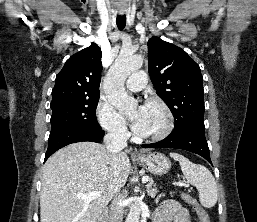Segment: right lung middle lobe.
I'll list each match as a JSON object with an SVG mask.
<instances>
[{
  "label": "right lung middle lobe",
  "instance_id": "obj_1",
  "mask_svg": "<svg viewBox=\"0 0 257 222\" xmlns=\"http://www.w3.org/2000/svg\"><path fill=\"white\" fill-rule=\"evenodd\" d=\"M99 95L80 98L55 100L51 102L50 136L66 130H101L96 118Z\"/></svg>",
  "mask_w": 257,
  "mask_h": 222
}]
</instances>
